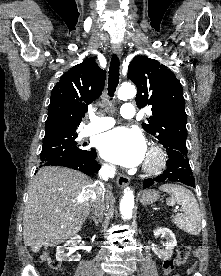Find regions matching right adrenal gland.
<instances>
[{"instance_id": "1", "label": "right adrenal gland", "mask_w": 221, "mask_h": 276, "mask_svg": "<svg viewBox=\"0 0 221 276\" xmlns=\"http://www.w3.org/2000/svg\"><path fill=\"white\" fill-rule=\"evenodd\" d=\"M88 219L93 221L95 226H99V223L101 222V219H96L94 217H88Z\"/></svg>"}]
</instances>
